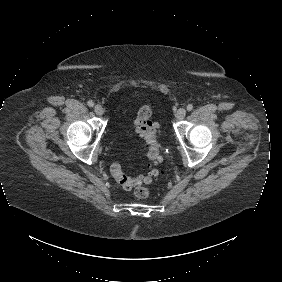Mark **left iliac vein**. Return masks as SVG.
I'll use <instances>...</instances> for the list:
<instances>
[{"mask_svg": "<svg viewBox=\"0 0 282 282\" xmlns=\"http://www.w3.org/2000/svg\"><path fill=\"white\" fill-rule=\"evenodd\" d=\"M186 116V109L185 108H180L177 110L175 117L177 120H183L184 117Z\"/></svg>", "mask_w": 282, "mask_h": 282, "instance_id": "1", "label": "left iliac vein"}]
</instances>
